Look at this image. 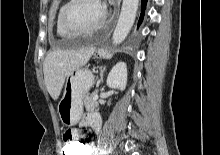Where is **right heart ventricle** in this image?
Wrapping results in <instances>:
<instances>
[{
  "mask_svg": "<svg viewBox=\"0 0 220 155\" xmlns=\"http://www.w3.org/2000/svg\"><path fill=\"white\" fill-rule=\"evenodd\" d=\"M63 5H61L58 9V12H57V15H56V18H55V28H56V33L58 36L60 37H64V38H70V37H73L74 35L72 34H69L67 33L66 31H64L62 29V27L60 26V23H59V15H60V11L62 9Z\"/></svg>",
  "mask_w": 220,
  "mask_h": 155,
  "instance_id": "obj_1",
  "label": "right heart ventricle"
}]
</instances>
